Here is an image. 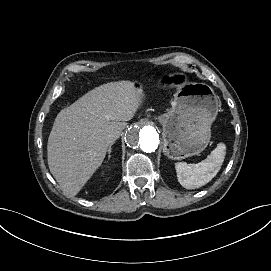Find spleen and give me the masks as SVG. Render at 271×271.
Returning a JSON list of instances; mask_svg holds the SVG:
<instances>
[{
    "label": "spleen",
    "mask_w": 271,
    "mask_h": 271,
    "mask_svg": "<svg viewBox=\"0 0 271 271\" xmlns=\"http://www.w3.org/2000/svg\"><path fill=\"white\" fill-rule=\"evenodd\" d=\"M225 150V144L219 143L211 154L198 164L177 162L175 164L177 176L187 178V180L190 183H194L196 187L205 185L219 172L225 158Z\"/></svg>",
    "instance_id": "obj_1"
}]
</instances>
